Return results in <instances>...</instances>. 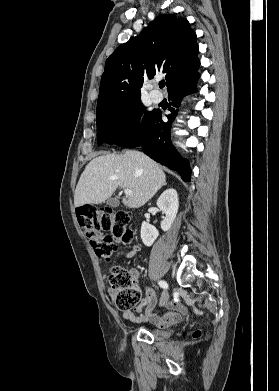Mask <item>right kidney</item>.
<instances>
[{"mask_svg": "<svg viewBox=\"0 0 279 391\" xmlns=\"http://www.w3.org/2000/svg\"><path fill=\"white\" fill-rule=\"evenodd\" d=\"M157 206L165 214L163 221L161 222V229L168 231L174 222L178 208V194L173 188L165 190L157 200ZM159 236L158 230L148 222L143 221L141 225V239L144 245L150 247Z\"/></svg>", "mask_w": 279, "mask_h": 391, "instance_id": "obj_1", "label": "right kidney"}]
</instances>
